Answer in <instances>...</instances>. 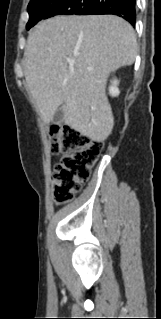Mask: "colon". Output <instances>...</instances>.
<instances>
[{"label": "colon", "instance_id": "1", "mask_svg": "<svg viewBox=\"0 0 161 319\" xmlns=\"http://www.w3.org/2000/svg\"><path fill=\"white\" fill-rule=\"evenodd\" d=\"M48 134L53 152L62 153L54 167L53 196L55 202H70L88 181L103 144L67 126L52 124Z\"/></svg>", "mask_w": 161, "mask_h": 319}]
</instances>
